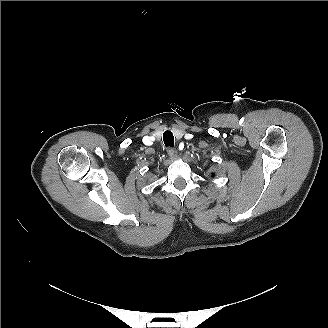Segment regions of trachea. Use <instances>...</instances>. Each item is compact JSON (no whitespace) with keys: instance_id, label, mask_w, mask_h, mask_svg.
Masks as SVG:
<instances>
[{"instance_id":"obj_1","label":"trachea","mask_w":328,"mask_h":328,"mask_svg":"<svg viewBox=\"0 0 328 328\" xmlns=\"http://www.w3.org/2000/svg\"><path fill=\"white\" fill-rule=\"evenodd\" d=\"M163 141L166 147L170 146L173 147L174 146V136L172 134L171 131H165L163 134Z\"/></svg>"}]
</instances>
